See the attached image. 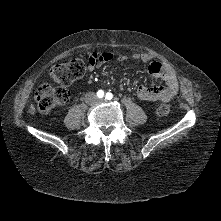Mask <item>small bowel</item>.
Segmentation results:
<instances>
[{"mask_svg": "<svg viewBox=\"0 0 221 221\" xmlns=\"http://www.w3.org/2000/svg\"><path fill=\"white\" fill-rule=\"evenodd\" d=\"M132 58L143 63H149V75L154 80L164 82L163 86L154 85L148 87L144 84L140 85L136 91L138 98L144 101L167 102L177 95L179 90L178 78L176 72L170 66L158 61H152V57L146 53H135L132 55ZM113 59L124 62L127 61L129 57L126 55L115 56L111 52H92L88 58V68L89 70H93L97 66ZM91 82L92 79H89L88 83Z\"/></svg>", "mask_w": 221, "mask_h": 221, "instance_id": "c3829d8e", "label": "small bowel"}]
</instances>
